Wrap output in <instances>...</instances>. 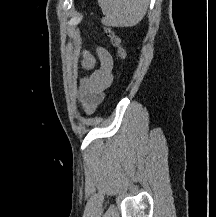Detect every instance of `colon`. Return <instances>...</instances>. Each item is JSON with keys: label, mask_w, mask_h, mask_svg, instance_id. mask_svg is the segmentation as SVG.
Here are the masks:
<instances>
[{"label": "colon", "mask_w": 216, "mask_h": 217, "mask_svg": "<svg viewBox=\"0 0 216 217\" xmlns=\"http://www.w3.org/2000/svg\"><path fill=\"white\" fill-rule=\"evenodd\" d=\"M110 45L116 50V58L120 61L124 60L127 56L126 49L123 45L122 36L113 29H107Z\"/></svg>", "instance_id": "obj_1"}]
</instances>
